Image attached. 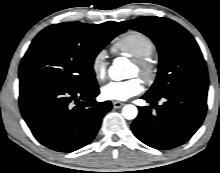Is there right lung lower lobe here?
<instances>
[{
    "label": "right lung lower lobe",
    "mask_w": 220,
    "mask_h": 173,
    "mask_svg": "<svg viewBox=\"0 0 220 173\" xmlns=\"http://www.w3.org/2000/svg\"><path fill=\"white\" fill-rule=\"evenodd\" d=\"M99 87L74 89L47 80H20L19 105L34 137L59 152H73L97 134L110 101L97 102Z\"/></svg>",
    "instance_id": "right-lung-lower-lobe-1"
}]
</instances>
